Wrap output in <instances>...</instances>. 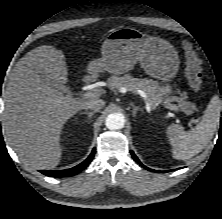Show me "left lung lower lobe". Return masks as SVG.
<instances>
[{"mask_svg": "<svg viewBox=\"0 0 222 219\" xmlns=\"http://www.w3.org/2000/svg\"><path fill=\"white\" fill-rule=\"evenodd\" d=\"M130 152H131V154H132L134 160L137 161L138 163H140L145 169L150 170V171H155V170H152V169H150V168L144 166V165L138 160V158L136 157V155L134 154V152H133V151H130ZM155 172H160V171H155ZM165 172H168V171H165Z\"/></svg>", "mask_w": 222, "mask_h": 219, "instance_id": "obj_1", "label": "left lung lower lobe"}]
</instances>
